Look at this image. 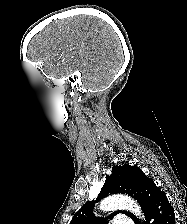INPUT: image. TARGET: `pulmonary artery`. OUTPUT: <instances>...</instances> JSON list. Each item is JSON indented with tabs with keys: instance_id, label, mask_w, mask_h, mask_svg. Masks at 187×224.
Masks as SVG:
<instances>
[{
	"instance_id": "1",
	"label": "pulmonary artery",
	"mask_w": 187,
	"mask_h": 224,
	"mask_svg": "<svg viewBox=\"0 0 187 224\" xmlns=\"http://www.w3.org/2000/svg\"><path fill=\"white\" fill-rule=\"evenodd\" d=\"M113 224H134V222L131 219L121 216L117 217Z\"/></svg>"
}]
</instances>
